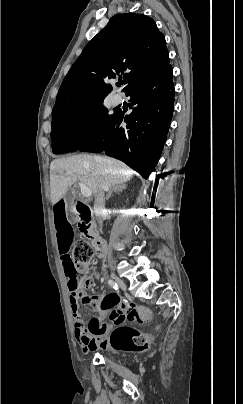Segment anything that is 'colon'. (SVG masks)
Here are the masks:
<instances>
[{"label": "colon", "instance_id": "obj_1", "mask_svg": "<svg viewBox=\"0 0 243 404\" xmlns=\"http://www.w3.org/2000/svg\"><path fill=\"white\" fill-rule=\"evenodd\" d=\"M72 264L76 277L75 285L88 286L95 272V258L93 249L87 241L79 240L75 243ZM109 342L115 350H138L147 345V338L132 327L119 326L111 333Z\"/></svg>", "mask_w": 243, "mask_h": 404}]
</instances>
